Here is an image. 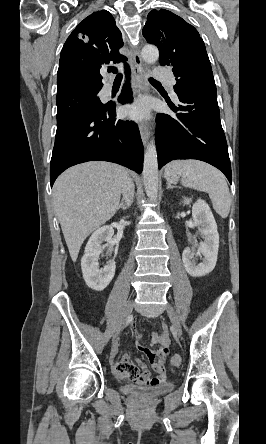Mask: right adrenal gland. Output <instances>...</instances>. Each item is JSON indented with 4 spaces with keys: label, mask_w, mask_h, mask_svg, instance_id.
I'll return each mask as SVG.
<instances>
[{
    "label": "right adrenal gland",
    "mask_w": 266,
    "mask_h": 444,
    "mask_svg": "<svg viewBox=\"0 0 266 444\" xmlns=\"http://www.w3.org/2000/svg\"><path fill=\"white\" fill-rule=\"evenodd\" d=\"M117 209H118V210H119V209L126 210V209H127V206L122 202V203L119 204V206H118Z\"/></svg>",
    "instance_id": "2a0ac1e0"
}]
</instances>
